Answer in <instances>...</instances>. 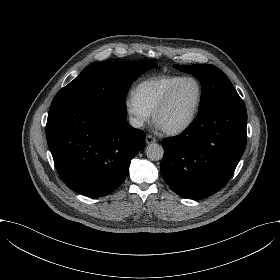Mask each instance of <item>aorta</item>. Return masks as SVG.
<instances>
[{"label": "aorta", "mask_w": 280, "mask_h": 280, "mask_svg": "<svg viewBox=\"0 0 280 280\" xmlns=\"http://www.w3.org/2000/svg\"><path fill=\"white\" fill-rule=\"evenodd\" d=\"M163 154H164L163 147L158 143L150 144L146 148L147 158L152 161H157L162 159Z\"/></svg>", "instance_id": "obj_1"}]
</instances>
